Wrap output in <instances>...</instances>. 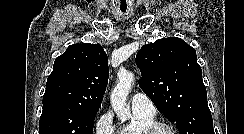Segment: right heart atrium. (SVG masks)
<instances>
[{
	"mask_svg": "<svg viewBox=\"0 0 244 134\" xmlns=\"http://www.w3.org/2000/svg\"><path fill=\"white\" fill-rule=\"evenodd\" d=\"M93 134H115L113 116L110 112L102 114L94 125Z\"/></svg>",
	"mask_w": 244,
	"mask_h": 134,
	"instance_id": "obj_1",
	"label": "right heart atrium"
}]
</instances>
